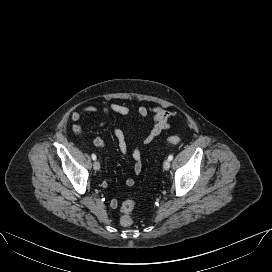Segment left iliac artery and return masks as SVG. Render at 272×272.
<instances>
[{"label": "left iliac artery", "instance_id": "left-iliac-artery-1", "mask_svg": "<svg viewBox=\"0 0 272 272\" xmlns=\"http://www.w3.org/2000/svg\"><path fill=\"white\" fill-rule=\"evenodd\" d=\"M172 159H173V154H171V155L168 156V160L171 161Z\"/></svg>", "mask_w": 272, "mask_h": 272}]
</instances>
